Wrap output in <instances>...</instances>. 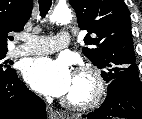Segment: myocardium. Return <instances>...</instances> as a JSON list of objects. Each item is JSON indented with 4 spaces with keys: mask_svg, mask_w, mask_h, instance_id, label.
I'll return each instance as SVG.
<instances>
[{
    "mask_svg": "<svg viewBox=\"0 0 142 119\" xmlns=\"http://www.w3.org/2000/svg\"><path fill=\"white\" fill-rule=\"evenodd\" d=\"M75 76L87 79L90 82V91L82 100L65 97L62 103L70 109L79 111H87L98 107L107 90L106 80L102 72L92 65H83L76 69Z\"/></svg>",
    "mask_w": 142,
    "mask_h": 119,
    "instance_id": "myocardium-1",
    "label": "myocardium"
}]
</instances>
